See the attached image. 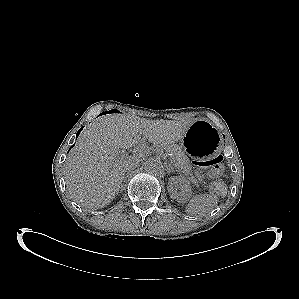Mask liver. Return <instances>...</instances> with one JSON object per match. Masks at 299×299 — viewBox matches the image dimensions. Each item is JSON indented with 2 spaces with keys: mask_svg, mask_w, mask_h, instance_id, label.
<instances>
[{
  "mask_svg": "<svg viewBox=\"0 0 299 299\" xmlns=\"http://www.w3.org/2000/svg\"><path fill=\"white\" fill-rule=\"evenodd\" d=\"M189 120H150L128 114L104 115L82 133L66 160V188L78 203L91 209L103 208L118 194L129 164L140 161L148 149L120 157L144 139L156 146H168L182 139Z\"/></svg>",
  "mask_w": 299,
  "mask_h": 299,
  "instance_id": "liver-1",
  "label": "liver"
}]
</instances>
